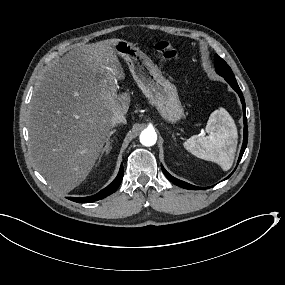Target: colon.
Returning a JSON list of instances; mask_svg holds the SVG:
<instances>
[{"mask_svg":"<svg viewBox=\"0 0 285 285\" xmlns=\"http://www.w3.org/2000/svg\"><path fill=\"white\" fill-rule=\"evenodd\" d=\"M155 51L166 60L181 61L179 50L170 41H159L154 45Z\"/></svg>","mask_w":285,"mask_h":285,"instance_id":"5ec220e1","label":"colon"}]
</instances>
